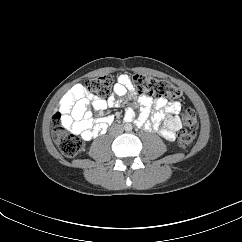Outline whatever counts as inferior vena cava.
Wrapping results in <instances>:
<instances>
[{"label": "inferior vena cava", "instance_id": "1", "mask_svg": "<svg viewBox=\"0 0 242 242\" xmlns=\"http://www.w3.org/2000/svg\"><path fill=\"white\" fill-rule=\"evenodd\" d=\"M123 127L121 125H115L114 127L111 128V132L114 135H119L123 132Z\"/></svg>", "mask_w": 242, "mask_h": 242}]
</instances>
